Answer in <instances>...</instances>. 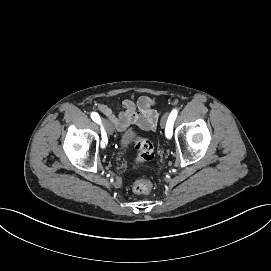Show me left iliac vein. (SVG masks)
Masks as SVG:
<instances>
[{
    "label": "left iliac vein",
    "mask_w": 271,
    "mask_h": 271,
    "mask_svg": "<svg viewBox=\"0 0 271 271\" xmlns=\"http://www.w3.org/2000/svg\"><path fill=\"white\" fill-rule=\"evenodd\" d=\"M166 119H167V114H165L161 119L160 125H161L162 128L165 127Z\"/></svg>",
    "instance_id": "obj_1"
}]
</instances>
